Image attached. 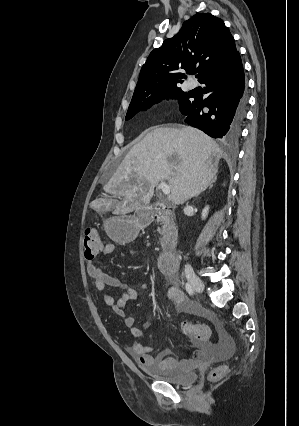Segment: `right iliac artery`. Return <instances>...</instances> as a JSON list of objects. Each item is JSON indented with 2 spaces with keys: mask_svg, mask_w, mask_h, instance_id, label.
<instances>
[{
  "mask_svg": "<svg viewBox=\"0 0 299 426\" xmlns=\"http://www.w3.org/2000/svg\"><path fill=\"white\" fill-rule=\"evenodd\" d=\"M185 289H186V291L188 292L189 295H193L194 291H193V289H192V287L189 283L185 284Z\"/></svg>",
  "mask_w": 299,
  "mask_h": 426,
  "instance_id": "obj_1",
  "label": "right iliac artery"
}]
</instances>
